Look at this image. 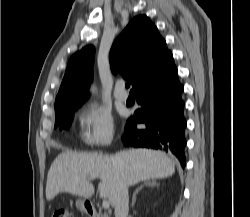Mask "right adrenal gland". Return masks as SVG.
I'll list each match as a JSON object with an SVG mask.
<instances>
[{
  "mask_svg": "<svg viewBox=\"0 0 250 217\" xmlns=\"http://www.w3.org/2000/svg\"><path fill=\"white\" fill-rule=\"evenodd\" d=\"M144 186H152V187L157 186V187H158L159 184H157L156 181L152 180V181H150V182H147V183L141 185L139 188H137V189L135 190L134 194H133V197H132V203H131V206H132V207H133L134 204H135L137 194L142 190V188H143Z\"/></svg>",
  "mask_w": 250,
  "mask_h": 217,
  "instance_id": "2a0ac1e0",
  "label": "right adrenal gland"
}]
</instances>
